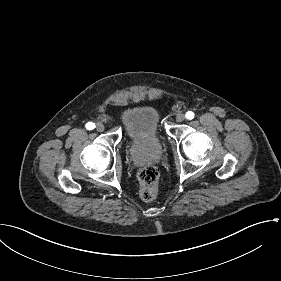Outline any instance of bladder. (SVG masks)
<instances>
[{"label": "bladder", "mask_w": 281, "mask_h": 281, "mask_svg": "<svg viewBox=\"0 0 281 281\" xmlns=\"http://www.w3.org/2000/svg\"><path fill=\"white\" fill-rule=\"evenodd\" d=\"M123 111V129L127 143L131 146L133 140L146 132H155L164 136L161 112L159 108L148 102L126 105Z\"/></svg>", "instance_id": "bladder-1"}]
</instances>
